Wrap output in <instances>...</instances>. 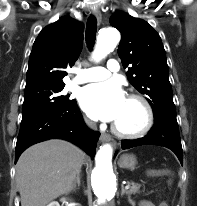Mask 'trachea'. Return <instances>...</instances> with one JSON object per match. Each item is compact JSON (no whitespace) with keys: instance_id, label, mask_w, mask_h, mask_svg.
<instances>
[{"instance_id":"3493384b","label":"trachea","mask_w":197,"mask_h":206,"mask_svg":"<svg viewBox=\"0 0 197 206\" xmlns=\"http://www.w3.org/2000/svg\"><path fill=\"white\" fill-rule=\"evenodd\" d=\"M97 32V21L95 17L91 16L88 19L86 32H85V40L89 49H92L95 44Z\"/></svg>"}]
</instances>
